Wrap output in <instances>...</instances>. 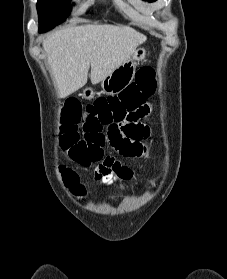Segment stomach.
<instances>
[{"mask_svg":"<svg viewBox=\"0 0 227 279\" xmlns=\"http://www.w3.org/2000/svg\"><path fill=\"white\" fill-rule=\"evenodd\" d=\"M146 55L147 50L145 47H137L127 61L101 81L103 92L108 95H115L130 85L135 75L136 66L146 60ZM94 94L95 92L92 88H85L82 96L85 99H91Z\"/></svg>","mask_w":227,"mask_h":279,"instance_id":"obj_1","label":"stomach"}]
</instances>
